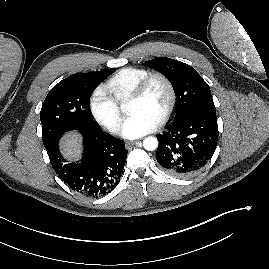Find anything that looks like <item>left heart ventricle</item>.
<instances>
[{
  "mask_svg": "<svg viewBox=\"0 0 269 269\" xmlns=\"http://www.w3.org/2000/svg\"><path fill=\"white\" fill-rule=\"evenodd\" d=\"M168 103V90L161 80H155L150 85L145 96L136 101H130L129 114L142 113L158 122Z\"/></svg>",
  "mask_w": 269,
  "mask_h": 269,
  "instance_id": "left-heart-ventricle-1",
  "label": "left heart ventricle"
}]
</instances>
